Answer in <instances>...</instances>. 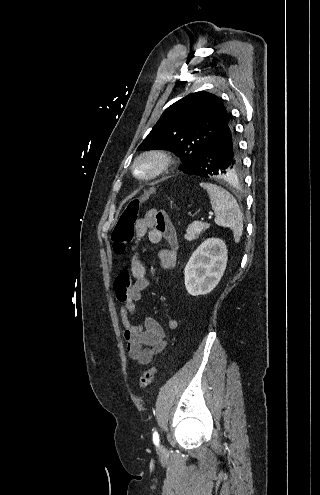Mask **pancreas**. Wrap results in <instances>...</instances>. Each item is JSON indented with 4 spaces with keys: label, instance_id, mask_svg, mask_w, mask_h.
Instances as JSON below:
<instances>
[{
    "label": "pancreas",
    "instance_id": "pancreas-1",
    "mask_svg": "<svg viewBox=\"0 0 320 495\" xmlns=\"http://www.w3.org/2000/svg\"><path fill=\"white\" fill-rule=\"evenodd\" d=\"M209 224L208 223H202L200 221H194L193 223H191L187 230H186V234H185V239L187 241H192V240H195V239H198L199 236L201 235L202 232H204L205 230H207L209 228Z\"/></svg>",
    "mask_w": 320,
    "mask_h": 495
}]
</instances>
